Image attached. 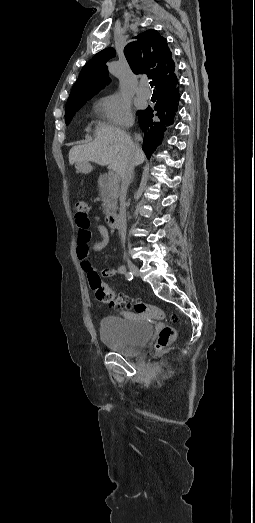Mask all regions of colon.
I'll list each match as a JSON object with an SVG mask.
<instances>
[{
	"label": "colon",
	"mask_w": 255,
	"mask_h": 523,
	"mask_svg": "<svg viewBox=\"0 0 255 523\" xmlns=\"http://www.w3.org/2000/svg\"><path fill=\"white\" fill-rule=\"evenodd\" d=\"M76 209V223L78 226H87L89 224L88 220V211H89V204L86 201L79 200L75 204ZM88 280L90 287L93 291V294L95 298L103 303H106L108 305L114 306V307H124L127 309H132L136 313L141 315H149L151 317H154L156 319H164L166 317L165 312L156 306L136 301V302H130L123 298L120 294L115 292L114 290L107 287L100 279L99 275L96 272L88 273ZM171 322L176 321L175 316H171L169 318ZM177 331L175 328L171 326H164L158 334L156 343H155V351L159 352L162 349L168 347L171 343L176 341L177 339Z\"/></svg>",
	"instance_id": "obj_1"
}]
</instances>
